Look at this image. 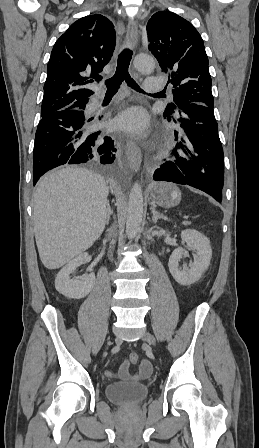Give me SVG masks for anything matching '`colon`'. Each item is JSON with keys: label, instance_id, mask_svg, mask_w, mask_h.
<instances>
[{"label": "colon", "instance_id": "colon-1", "mask_svg": "<svg viewBox=\"0 0 259 448\" xmlns=\"http://www.w3.org/2000/svg\"><path fill=\"white\" fill-rule=\"evenodd\" d=\"M128 360H129L131 363L135 364V363H137V362L139 361V355H138L137 353H131V354L129 355V357H128Z\"/></svg>", "mask_w": 259, "mask_h": 448}]
</instances>
